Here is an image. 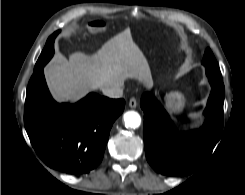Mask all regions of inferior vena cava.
<instances>
[{"instance_id": "602c4592", "label": "inferior vena cava", "mask_w": 245, "mask_h": 195, "mask_svg": "<svg viewBox=\"0 0 245 195\" xmlns=\"http://www.w3.org/2000/svg\"><path fill=\"white\" fill-rule=\"evenodd\" d=\"M103 94L110 98H121L123 96V89L118 86L113 87H102Z\"/></svg>"}]
</instances>
